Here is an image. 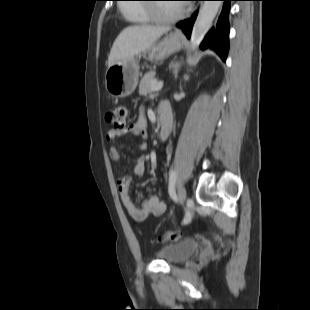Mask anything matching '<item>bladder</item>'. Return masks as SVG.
I'll return each mask as SVG.
<instances>
[{"mask_svg":"<svg viewBox=\"0 0 310 310\" xmlns=\"http://www.w3.org/2000/svg\"><path fill=\"white\" fill-rule=\"evenodd\" d=\"M197 242L184 240L163 246L157 251V257L168 263H180L188 259L197 249Z\"/></svg>","mask_w":310,"mask_h":310,"instance_id":"bladder-1","label":"bladder"}]
</instances>
